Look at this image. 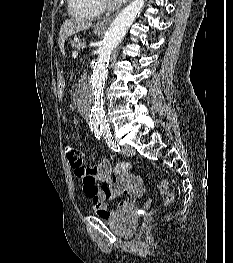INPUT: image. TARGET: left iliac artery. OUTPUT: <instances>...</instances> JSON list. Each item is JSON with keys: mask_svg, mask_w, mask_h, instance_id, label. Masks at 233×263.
Instances as JSON below:
<instances>
[{"mask_svg": "<svg viewBox=\"0 0 233 263\" xmlns=\"http://www.w3.org/2000/svg\"><path fill=\"white\" fill-rule=\"evenodd\" d=\"M103 137L105 138L106 143L108 144V146L115 152H119L120 151V146L114 141L112 134L110 132V130H106L103 133Z\"/></svg>", "mask_w": 233, "mask_h": 263, "instance_id": "44dca946", "label": "left iliac artery"}]
</instances>
